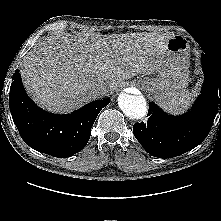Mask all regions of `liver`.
I'll list each match as a JSON object with an SVG mask.
<instances>
[{
    "instance_id": "obj_1",
    "label": "liver",
    "mask_w": 221,
    "mask_h": 221,
    "mask_svg": "<svg viewBox=\"0 0 221 221\" xmlns=\"http://www.w3.org/2000/svg\"><path fill=\"white\" fill-rule=\"evenodd\" d=\"M170 38L156 33L46 37L24 57L22 81L43 109L71 112L98 98L97 83L114 91L137 74L158 72Z\"/></svg>"
}]
</instances>
